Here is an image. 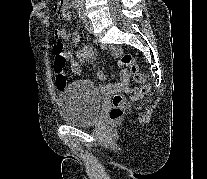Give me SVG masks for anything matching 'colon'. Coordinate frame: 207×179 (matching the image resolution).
I'll use <instances>...</instances> for the list:
<instances>
[{
	"instance_id": "colon-1",
	"label": "colon",
	"mask_w": 207,
	"mask_h": 179,
	"mask_svg": "<svg viewBox=\"0 0 207 179\" xmlns=\"http://www.w3.org/2000/svg\"><path fill=\"white\" fill-rule=\"evenodd\" d=\"M67 9V0H54L53 10L56 18H61ZM54 70L60 85H65L67 74V59L63 52V44L61 37L54 34ZM120 66L130 67L135 81L139 84L133 93L126 97L122 93H116L112 98V108L109 114L111 121H115L123 116L130 101H136L142 98L150 89L145 75L138 70V66L134 57L128 53L122 55L119 60Z\"/></svg>"
}]
</instances>
